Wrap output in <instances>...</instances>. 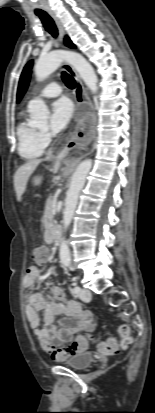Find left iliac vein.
<instances>
[{"label":"left iliac vein","mask_w":155,"mask_h":413,"mask_svg":"<svg viewBox=\"0 0 155 413\" xmlns=\"http://www.w3.org/2000/svg\"><path fill=\"white\" fill-rule=\"evenodd\" d=\"M78 295L82 301H89L91 299V292L86 288H82Z\"/></svg>","instance_id":"1"}]
</instances>
